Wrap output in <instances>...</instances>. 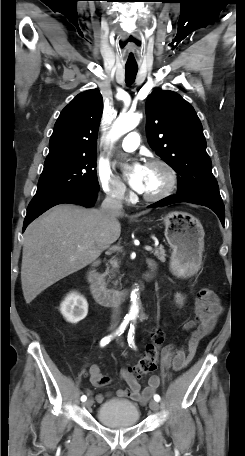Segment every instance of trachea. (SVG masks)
I'll use <instances>...</instances> for the list:
<instances>
[{
    "label": "trachea",
    "instance_id": "obj_1",
    "mask_svg": "<svg viewBox=\"0 0 245 456\" xmlns=\"http://www.w3.org/2000/svg\"><path fill=\"white\" fill-rule=\"evenodd\" d=\"M138 72L137 66H125V81L128 85L133 84Z\"/></svg>",
    "mask_w": 245,
    "mask_h": 456
}]
</instances>
